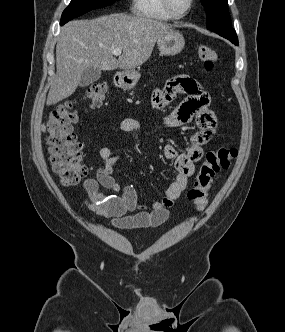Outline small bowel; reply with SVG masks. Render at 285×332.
Masks as SVG:
<instances>
[{
	"instance_id": "obj_1",
	"label": "small bowel",
	"mask_w": 285,
	"mask_h": 332,
	"mask_svg": "<svg viewBox=\"0 0 285 332\" xmlns=\"http://www.w3.org/2000/svg\"><path fill=\"white\" fill-rule=\"evenodd\" d=\"M177 93L186 94L187 97L168 115L166 124L170 127H179L195 121L199 130L188 138L184 153H179L171 144L164 146V157L174 160L176 175L166 187L165 195L160 201L145 205L138 201L136 190L132 186L121 188L113 177L114 166L121 155L112 153L107 146L100 149L103 165L98 169L96 177L87 178L83 183L86 208L100 216L111 218L115 227H157L165 223L174 201L187 188L188 180L195 171V164L202 159L203 147L215 135L217 118L209 108L210 95L188 74L172 77L163 89L155 90L152 96L154 108L173 107V98ZM140 127L138 120L125 118L119 124L118 130L122 133H133ZM100 187L109 189L113 193H103ZM130 212L135 213L128 215Z\"/></svg>"
}]
</instances>
